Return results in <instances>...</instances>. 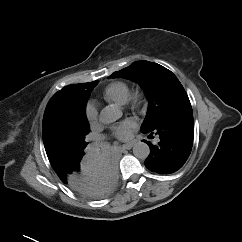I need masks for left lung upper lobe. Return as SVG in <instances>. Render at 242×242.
Wrapping results in <instances>:
<instances>
[{"instance_id": "5c2ea615", "label": "left lung upper lobe", "mask_w": 242, "mask_h": 242, "mask_svg": "<svg viewBox=\"0 0 242 242\" xmlns=\"http://www.w3.org/2000/svg\"><path fill=\"white\" fill-rule=\"evenodd\" d=\"M116 77L139 83L148 98V110L141 131L151 130L173 111L191 106L188 95L177 77L157 63L144 60L134 62L109 76Z\"/></svg>"}]
</instances>
